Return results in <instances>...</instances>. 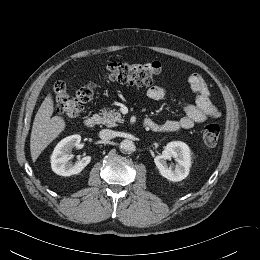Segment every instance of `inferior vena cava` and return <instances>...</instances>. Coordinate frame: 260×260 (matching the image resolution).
I'll return each instance as SVG.
<instances>
[{
  "mask_svg": "<svg viewBox=\"0 0 260 260\" xmlns=\"http://www.w3.org/2000/svg\"><path fill=\"white\" fill-rule=\"evenodd\" d=\"M99 137L102 140H110L114 137V131L110 129H103L99 132Z\"/></svg>",
  "mask_w": 260,
  "mask_h": 260,
  "instance_id": "inferior-vena-cava-1",
  "label": "inferior vena cava"
}]
</instances>
